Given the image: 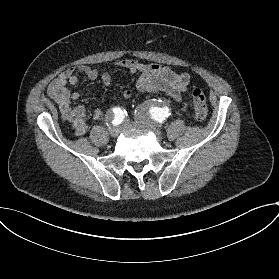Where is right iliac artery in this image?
Returning a JSON list of instances; mask_svg holds the SVG:
<instances>
[{
	"label": "right iliac artery",
	"instance_id": "1",
	"mask_svg": "<svg viewBox=\"0 0 279 279\" xmlns=\"http://www.w3.org/2000/svg\"><path fill=\"white\" fill-rule=\"evenodd\" d=\"M111 115H112V117L114 118V119L112 120V124H113L114 126H116V125H119V124L122 122V120H123V119L125 118V116H126V113H125V111H124L121 107L116 106V107H114V108L112 109Z\"/></svg>",
	"mask_w": 279,
	"mask_h": 279
}]
</instances>
